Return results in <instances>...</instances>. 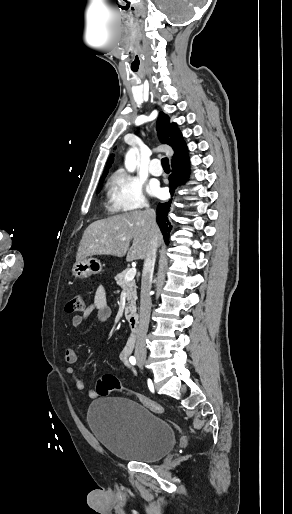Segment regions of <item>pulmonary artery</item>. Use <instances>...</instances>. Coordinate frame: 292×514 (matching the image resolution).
Instances as JSON below:
<instances>
[{
	"label": "pulmonary artery",
	"instance_id": "1",
	"mask_svg": "<svg viewBox=\"0 0 292 514\" xmlns=\"http://www.w3.org/2000/svg\"><path fill=\"white\" fill-rule=\"evenodd\" d=\"M150 163L148 164V169L151 171L152 175L159 176L161 174L159 169V158L158 157H151Z\"/></svg>",
	"mask_w": 292,
	"mask_h": 514
}]
</instances>
